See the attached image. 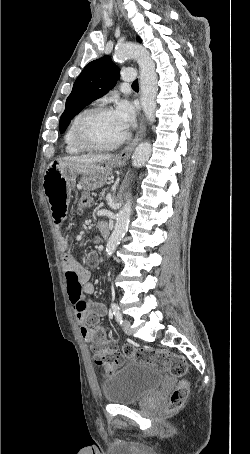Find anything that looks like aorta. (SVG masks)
Returning <instances> with one entry per match:
<instances>
[{
    "label": "aorta",
    "instance_id": "aorta-1",
    "mask_svg": "<svg viewBox=\"0 0 250 454\" xmlns=\"http://www.w3.org/2000/svg\"><path fill=\"white\" fill-rule=\"evenodd\" d=\"M133 58L137 61L140 68V90L141 106L145 113L146 119L153 123L155 121L156 96L158 92V80L155 71V64L150 57L149 51L142 45L134 42H126L119 45L115 51L116 60ZM152 153V146L149 142L140 143L132 155V165L135 168L142 167ZM131 200L129 197L126 203L117 214L116 223L112 234L106 245V254L111 256L116 250L121 239L124 237L131 216Z\"/></svg>",
    "mask_w": 250,
    "mask_h": 454
}]
</instances>
